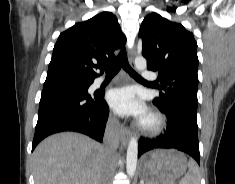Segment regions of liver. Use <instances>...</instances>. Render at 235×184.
<instances>
[{
  "label": "liver",
  "instance_id": "liver-1",
  "mask_svg": "<svg viewBox=\"0 0 235 184\" xmlns=\"http://www.w3.org/2000/svg\"><path fill=\"white\" fill-rule=\"evenodd\" d=\"M110 158L104 146L88 136L53 134L33 152L35 184H100Z\"/></svg>",
  "mask_w": 235,
  "mask_h": 184
}]
</instances>
